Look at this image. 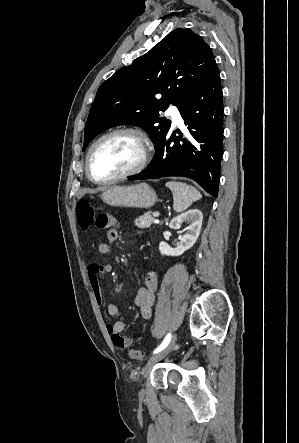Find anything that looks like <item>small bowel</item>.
<instances>
[{"label":"small bowel","mask_w":299,"mask_h":443,"mask_svg":"<svg viewBox=\"0 0 299 443\" xmlns=\"http://www.w3.org/2000/svg\"><path fill=\"white\" fill-rule=\"evenodd\" d=\"M118 224L116 218L110 214H101L97 217V227L107 229L106 239L98 245L100 254H108L111 244L119 238V232L116 229ZM112 271V265L109 263L91 262L87 267L88 279L92 291L101 305L104 302L102 289L99 282V276L102 274H109ZM158 286V274L155 271H150L144 280L143 285L137 292L135 297V304L139 309L141 316L145 319L151 318L153 314V306L155 303V292ZM107 313L112 323L107 324L106 330L110 336L114 347L119 351H125L133 344V339L121 336L125 328L123 321L119 319V309L116 304L108 303L106 305Z\"/></svg>","instance_id":"obj_1"}]
</instances>
